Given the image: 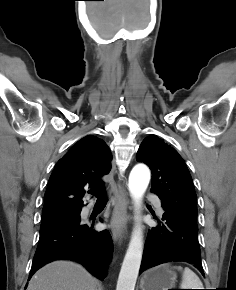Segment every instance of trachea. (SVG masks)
I'll list each match as a JSON object with an SVG mask.
<instances>
[{
  "label": "trachea",
  "mask_w": 236,
  "mask_h": 290,
  "mask_svg": "<svg viewBox=\"0 0 236 290\" xmlns=\"http://www.w3.org/2000/svg\"><path fill=\"white\" fill-rule=\"evenodd\" d=\"M93 194L97 197V201L105 202L106 197L101 192H93Z\"/></svg>",
  "instance_id": "3493384b"
}]
</instances>
